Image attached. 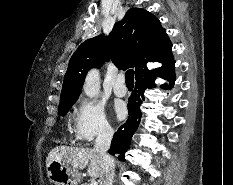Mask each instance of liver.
<instances>
[{
  "label": "liver",
  "instance_id": "6515ba94",
  "mask_svg": "<svg viewBox=\"0 0 233 185\" xmlns=\"http://www.w3.org/2000/svg\"><path fill=\"white\" fill-rule=\"evenodd\" d=\"M51 161L67 164L77 171L87 167V173L92 178H99L103 169L102 157L90 148L56 146L49 152L46 166Z\"/></svg>",
  "mask_w": 233,
  "mask_h": 185
}]
</instances>
